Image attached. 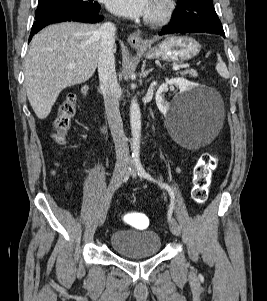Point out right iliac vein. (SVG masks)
Listing matches in <instances>:
<instances>
[{"mask_svg": "<svg viewBox=\"0 0 267 301\" xmlns=\"http://www.w3.org/2000/svg\"><path fill=\"white\" fill-rule=\"evenodd\" d=\"M126 170V165H118L115 167L112 178H111V182H110V186L109 189L107 190V192L104 195V199L102 201V205L100 208V212H99V227H101L106 219V215H107V211L109 208V202L110 199L115 191V188L117 187V185L119 184V182L121 181L124 173Z\"/></svg>", "mask_w": 267, "mask_h": 301, "instance_id": "63e3f726", "label": "right iliac vein"}]
</instances>
